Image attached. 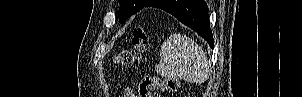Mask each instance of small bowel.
Segmentation results:
<instances>
[{
  "mask_svg": "<svg viewBox=\"0 0 302 97\" xmlns=\"http://www.w3.org/2000/svg\"><path fill=\"white\" fill-rule=\"evenodd\" d=\"M125 96L126 97H137V95H135V93L131 89L126 90Z\"/></svg>",
  "mask_w": 302,
  "mask_h": 97,
  "instance_id": "c3829d8e",
  "label": "small bowel"
}]
</instances>
